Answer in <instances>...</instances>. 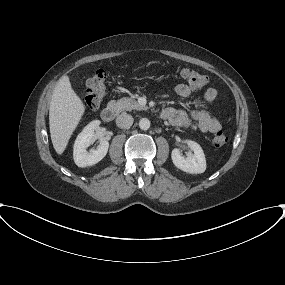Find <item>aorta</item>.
Segmentation results:
<instances>
[{
    "label": "aorta",
    "mask_w": 285,
    "mask_h": 285,
    "mask_svg": "<svg viewBox=\"0 0 285 285\" xmlns=\"http://www.w3.org/2000/svg\"><path fill=\"white\" fill-rule=\"evenodd\" d=\"M139 127L142 129V130H148L150 128V121L149 119L147 118H142L140 121H139Z\"/></svg>",
    "instance_id": "1"
}]
</instances>
